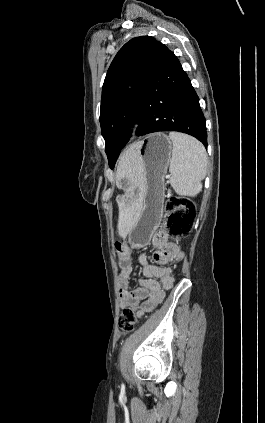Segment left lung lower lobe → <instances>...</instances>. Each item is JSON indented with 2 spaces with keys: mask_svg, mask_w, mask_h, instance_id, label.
I'll list each match as a JSON object with an SVG mask.
<instances>
[{
  "mask_svg": "<svg viewBox=\"0 0 265 423\" xmlns=\"http://www.w3.org/2000/svg\"><path fill=\"white\" fill-rule=\"evenodd\" d=\"M134 123H138V136L177 131L197 138L207 147L199 98L179 60L163 44L139 97Z\"/></svg>",
  "mask_w": 265,
  "mask_h": 423,
  "instance_id": "left-lung-lower-lobe-1",
  "label": "left lung lower lobe"
}]
</instances>
